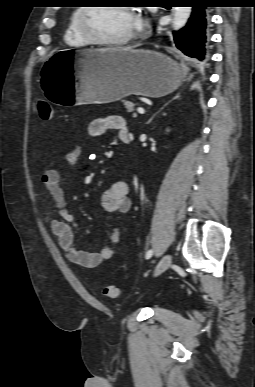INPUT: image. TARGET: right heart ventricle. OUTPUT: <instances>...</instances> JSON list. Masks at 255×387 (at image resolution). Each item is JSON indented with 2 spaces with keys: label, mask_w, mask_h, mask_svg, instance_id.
Here are the masks:
<instances>
[{
  "label": "right heart ventricle",
  "mask_w": 255,
  "mask_h": 387,
  "mask_svg": "<svg viewBox=\"0 0 255 387\" xmlns=\"http://www.w3.org/2000/svg\"><path fill=\"white\" fill-rule=\"evenodd\" d=\"M81 7H76L70 14L69 21L64 33V41L67 45L72 47H85L90 43L81 35L77 18Z\"/></svg>",
  "instance_id": "e07e8e85"
}]
</instances>
